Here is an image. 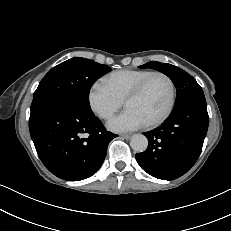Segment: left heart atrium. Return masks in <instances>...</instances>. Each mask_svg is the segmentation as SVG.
Listing matches in <instances>:
<instances>
[{
	"mask_svg": "<svg viewBox=\"0 0 231 231\" xmlns=\"http://www.w3.org/2000/svg\"><path fill=\"white\" fill-rule=\"evenodd\" d=\"M145 125V120L131 109H126L108 122V128L114 132L133 131Z\"/></svg>",
	"mask_w": 231,
	"mask_h": 231,
	"instance_id": "obj_1",
	"label": "left heart atrium"
}]
</instances>
